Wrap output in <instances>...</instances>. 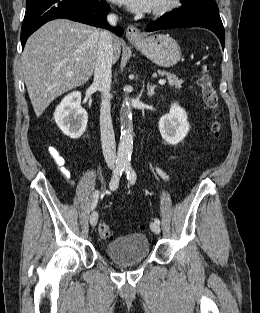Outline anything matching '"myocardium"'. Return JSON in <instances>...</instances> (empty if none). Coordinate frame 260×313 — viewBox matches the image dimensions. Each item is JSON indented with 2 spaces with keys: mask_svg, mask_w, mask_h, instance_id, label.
Here are the masks:
<instances>
[{
  "mask_svg": "<svg viewBox=\"0 0 260 313\" xmlns=\"http://www.w3.org/2000/svg\"><path fill=\"white\" fill-rule=\"evenodd\" d=\"M179 4L180 0H164L159 5L152 7L151 13L155 16H163L175 10Z\"/></svg>",
  "mask_w": 260,
  "mask_h": 313,
  "instance_id": "f54148a6",
  "label": "myocardium"
}]
</instances>
